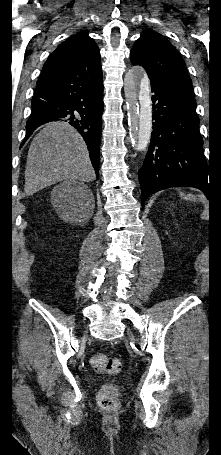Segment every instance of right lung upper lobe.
Here are the masks:
<instances>
[{"mask_svg": "<svg viewBox=\"0 0 221 455\" xmlns=\"http://www.w3.org/2000/svg\"><path fill=\"white\" fill-rule=\"evenodd\" d=\"M100 56L99 48L88 33L82 31L64 41L49 56L38 81L87 58Z\"/></svg>", "mask_w": 221, "mask_h": 455, "instance_id": "1", "label": "right lung upper lobe"}]
</instances>
